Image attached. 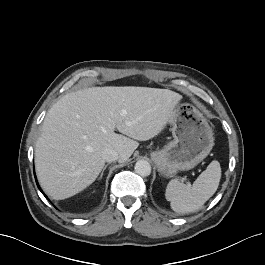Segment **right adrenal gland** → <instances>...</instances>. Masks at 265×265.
Listing matches in <instances>:
<instances>
[{
    "label": "right adrenal gland",
    "mask_w": 265,
    "mask_h": 265,
    "mask_svg": "<svg viewBox=\"0 0 265 265\" xmlns=\"http://www.w3.org/2000/svg\"><path fill=\"white\" fill-rule=\"evenodd\" d=\"M107 167H108V164L104 166V168H103V170L101 172V175H100L99 179H102L103 174H104V171L106 170Z\"/></svg>",
    "instance_id": "right-adrenal-gland-1"
}]
</instances>
